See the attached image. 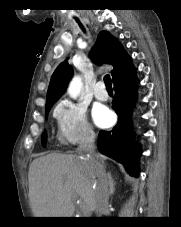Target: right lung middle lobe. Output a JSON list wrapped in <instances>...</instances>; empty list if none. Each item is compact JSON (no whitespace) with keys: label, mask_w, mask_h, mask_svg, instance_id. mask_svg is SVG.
Wrapping results in <instances>:
<instances>
[{"label":"right lung middle lobe","mask_w":181,"mask_h":227,"mask_svg":"<svg viewBox=\"0 0 181 227\" xmlns=\"http://www.w3.org/2000/svg\"><path fill=\"white\" fill-rule=\"evenodd\" d=\"M51 106H52V105L46 106V116H47V114H48V112H49ZM46 140H47L46 134H43V135H42V145H43L44 147L46 146Z\"/></svg>","instance_id":"obj_1"}]
</instances>
